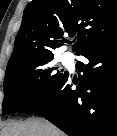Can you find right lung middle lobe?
Wrapping results in <instances>:
<instances>
[{
	"label": "right lung middle lobe",
	"mask_w": 117,
	"mask_h": 136,
	"mask_svg": "<svg viewBox=\"0 0 117 136\" xmlns=\"http://www.w3.org/2000/svg\"><path fill=\"white\" fill-rule=\"evenodd\" d=\"M53 56H31L7 65L3 115L18 112L32 100L52 91L67 75Z\"/></svg>",
	"instance_id": "obj_1"
}]
</instances>
